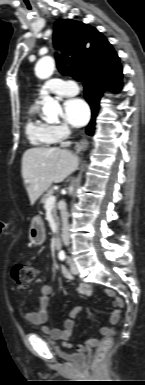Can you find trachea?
Returning <instances> with one entry per match:
<instances>
[{
    "instance_id": "1",
    "label": "trachea",
    "mask_w": 145,
    "mask_h": 385,
    "mask_svg": "<svg viewBox=\"0 0 145 385\" xmlns=\"http://www.w3.org/2000/svg\"><path fill=\"white\" fill-rule=\"evenodd\" d=\"M67 71H68L69 75H70L72 78H74L75 80H77V81H79V82L81 81V77H80L78 71H77L75 68H73V67H68V68H67Z\"/></svg>"
}]
</instances>
